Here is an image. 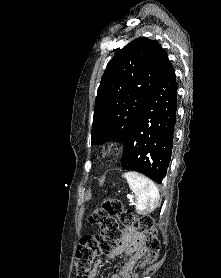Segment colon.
<instances>
[{"instance_id": "obj_1", "label": "colon", "mask_w": 221, "mask_h": 278, "mask_svg": "<svg viewBox=\"0 0 221 278\" xmlns=\"http://www.w3.org/2000/svg\"><path fill=\"white\" fill-rule=\"evenodd\" d=\"M116 218L123 226L134 228L144 234L143 250L146 258L141 262V266L156 259L160 242L154 219L151 216L136 217L120 200L107 198L93 210L89 217L90 223L100 228V234L84 236L76 250L77 278H88L94 259L99 255L109 254L114 249L121 237Z\"/></svg>"}]
</instances>
